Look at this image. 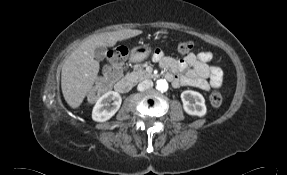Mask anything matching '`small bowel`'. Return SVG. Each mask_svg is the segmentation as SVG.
Returning a JSON list of instances; mask_svg holds the SVG:
<instances>
[{
  "label": "small bowel",
  "mask_w": 287,
  "mask_h": 175,
  "mask_svg": "<svg viewBox=\"0 0 287 175\" xmlns=\"http://www.w3.org/2000/svg\"><path fill=\"white\" fill-rule=\"evenodd\" d=\"M211 58L210 52L190 54L183 59L166 56L160 51L154 55L161 68L170 72L169 77L175 87L193 86L202 90H208L220 81L218 68L208 64Z\"/></svg>",
  "instance_id": "obj_1"
}]
</instances>
